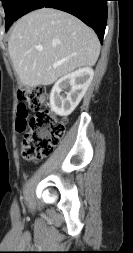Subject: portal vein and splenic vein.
<instances>
[{
  "instance_id": "1",
  "label": "portal vein and splenic vein",
  "mask_w": 133,
  "mask_h": 253,
  "mask_svg": "<svg viewBox=\"0 0 133 253\" xmlns=\"http://www.w3.org/2000/svg\"><path fill=\"white\" fill-rule=\"evenodd\" d=\"M37 50H38L39 52H41V51H43V47L38 46V47H37Z\"/></svg>"
}]
</instances>
